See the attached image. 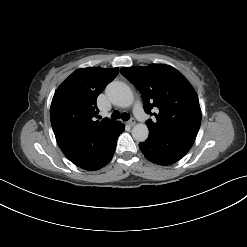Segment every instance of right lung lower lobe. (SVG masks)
<instances>
[{
	"label": "right lung lower lobe",
	"mask_w": 247,
	"mask_h": 247,
	"mask_svg": "<svg viewBox=\"0 0 247 247\" xmlns=\"http://www.w3.org/2000/svg\"><path fill=\"white\" fill-rule=\"evenodd\" d=\"M124 131V125L117 122L114 126L98 134L93 140L87 153L80 160L73 162L85 170H98L112 159L118 136Z\"/></svg>",
	"instance_id": "obj_1"
}]
</instances>
